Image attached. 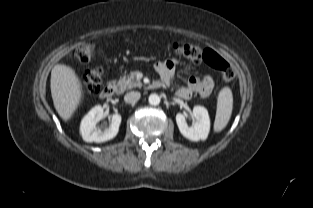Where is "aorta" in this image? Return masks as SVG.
I'll return each mask as SVG.
<instances>
[{"label":"aorta","instance_id":"aorta-1","mask_svg":"<svg viewBox=\"0 0 313 208\" xmlns=\"http://www.w3.org/2000/svg\"><path fill=\"white\" fill-rule=\"evenodd\" d=\"M160 100H161V99H160L159 95H157V94H151V95L149 96V98H148L149 103H150L151 105H154V106L159 105Z\"/></svg>","mask_w":313,"mask_h":208}]
</instances>
